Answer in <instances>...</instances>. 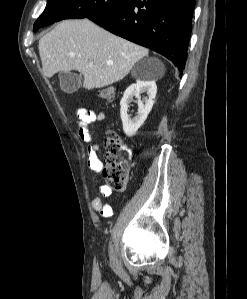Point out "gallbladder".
I'll use <instances>...</instances> for the list:
<instances>
[{
	"mask_svg": "<svg viewBox=\"0 0 247 299\" xmlns=\"http://www.w3.org/2000/svg\"><path fill=\"white\" fill-rule=\"evenodd\" d=\"M60 88L65 93L72 94L81 86V75L72 71H62L58 75Z\"/></svg>",
	"mask_w": 247,
	"mask_h": 299,
	"instance_id": "gallbladder-1",
	"label": "gallbladder"
}]
</instances>
